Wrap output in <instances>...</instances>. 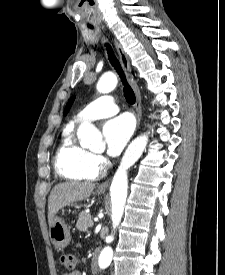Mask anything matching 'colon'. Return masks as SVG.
I'll list each match as a JSON object with an SVG mask.
<instances>
[{
  "instance_id": "colon-1",
  "label": "colon",
  "mask_w": 225,
  "mask_h": 275,
  "mask_svg": "<svg viewBox=\"0 0 225 275\" xmlns=\"http://www.w3.org/2000/svg\"><path fill=\"white\" fill-rule=\"evenodd\" d=\"M77 258L74 253H63L59 256V263L67 270H74L76 267Z\"/></svg>"
}]
</instances>
